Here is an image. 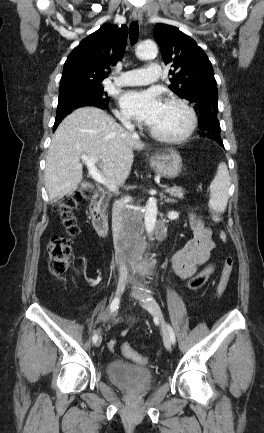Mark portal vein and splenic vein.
Returning <instances> with one entry per match:
<instances>
[{"label": "portal vein and splenic vein", "mask_w": 264, "mask_h": 433, "mask_svg": "<svg viewBox=\"0 0 264 433\" xmlns=\"http://www.w3.org/2000/svg\"><path fill=\"white\" fill-rule=\"evenodd\" d=\"M81 158L85 161L86 166L89 170V175L98 183L105 185L108 187V189L112 192L116 191V187L108 184L106 180L102 177L100 171L96 167V163L99 161V158L97 157H88L86 155H82ZM168 193H174L178 192L179 194H182L183 189L181 187H171L166 188L165 190Z\"/></svg>", "instance_id": "18ae733b"}]
</instances>
